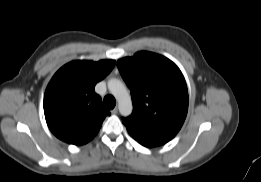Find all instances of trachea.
Listing matches in <instances>:
<instances>
[{
    "label": "trachea",
    "mask_w": 261,
    "mask_h": 182,
    "mask_svg": "<svg viewBox=\"0 0 261 182\" xmlns=\"http://www.w3.org/2000/svg\"><path fill=\"white\" fill-rule=\"evenodd\" d=\"M104 106L107 108V109H113L116 105V101H115V98L111 95H107L105 96L104 98Z\"/></svg>",
    "instance_id": "obj_1"
}]
</instances>
